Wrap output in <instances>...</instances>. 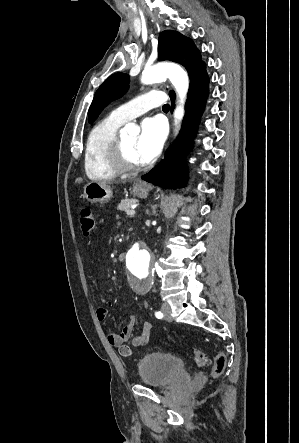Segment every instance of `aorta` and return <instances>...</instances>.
Instances as JSON below:
<instances>
[{
  "mask_svg": "<svg viewBox=\"0 0 299 443\" xmlns=\"http://www.w3.org/2000/svg\"><path fill=\"white\" fill-rule=\"evenodd\" d=\"M169 79L179 97V105L174 111L175 123L178 124L184 115V101L189 87V79L187 73L175 64H157L142 73L141 81L144 84H152L162 82ZM139 127L133 123L127 124L120 133L122 136L126 134H138ZM152 255L143 241L136 242L129 250L126 256V267L129 272L138 280L137 291H144L149 285L150 267Z\"/></svg>",
  "mask_w": 299,
  "mask_h": 443,
  "instance_id": "aorta-1",
  "label": "aorta"
}]
</instances>
